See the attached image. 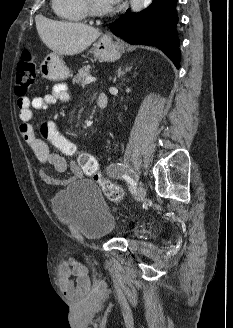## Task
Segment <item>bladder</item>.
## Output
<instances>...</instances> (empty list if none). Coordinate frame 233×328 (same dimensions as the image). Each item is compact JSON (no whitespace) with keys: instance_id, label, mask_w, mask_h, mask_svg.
<instances>
[{"instance_id":"bladder-1","label":"bladder","mask_w":233,"mask_h":328,"mask_svg":"<svg viewBox=\"0 0 233 328\" xmlns=\"http://www.w3.org/2000/svg\"><path fill=\"white\" fill-rule=\"evenodd\" d=\"M52 205L56 213L86 239H101L115 227V218L92 181L71 183L53 196Z\"/></svg>"}]
</instances>
